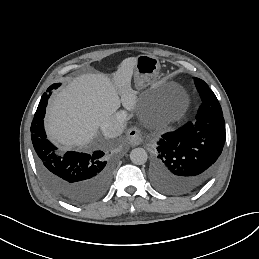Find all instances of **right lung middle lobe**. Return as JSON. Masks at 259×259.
Returning <instances> with one entry per match:
<instances>
[{"label":"right lung middle lobe","mask_w":259,"mask_h":259,"mask_svg":"<svg viewBox=\"0 0 259 259\" xmlns=\"http://www.w3.org/2000/svg\"><path fill=\"white\" fill-rule=\"evenodd\" d=\"M58 86H60V84H52L47 90H53V89L57 88Z\"/></svg>","instance_id":"dd1d6c3e"}]
</instances>
